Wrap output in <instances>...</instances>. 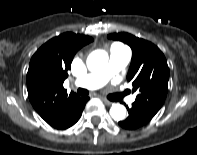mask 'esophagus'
<instances>
[{"mask_svg":"<svg viewBox=\"0 0 197 155\" xmlns=\"http://www.w3.org/2000/svg\"><path fill=\"white\" fill-rule=\"evenodd\" d=\"M103 102H104L106 105H108V106H110V105L113 104V102H111V101H109V100H107V99H103Z\"/></svg>","mask_w":197,"mask_h":155,"instance_id":"obj_1","label":"esophagus"}]
</instances>
